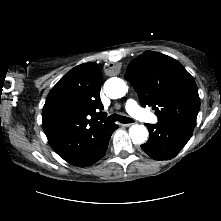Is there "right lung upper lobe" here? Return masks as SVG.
I'll return each instance as SVG.
<instances>
[{
  "instance_id": "obj_1",
  "label": "right lung upper lobe",
  "mask_w": 221,
  "mask_h": 221,
  "mask_svg": "<svg viewBox=\"0 0 221 221\" xmlns=\"http://www.w3.org/2000/svg\"><path fill=\"white\" fill-rule=\"evenodd\" d=\"M103 82L96 63L71 69L51 89L43 107V129L53 150L65 161L84 150L111 122L102 119Z\"/></svg>"
}]
</instances>
